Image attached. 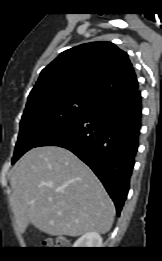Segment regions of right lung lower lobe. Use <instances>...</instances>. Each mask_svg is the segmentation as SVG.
I'll return each mask as SVG.
<instances>
[{"mask_svg":"<svg viewBox=\"0 0 162 261\" xmlns=\"http://www.w3.org/2000/svg\"><path fill=\"white\" fill-rule=\"evenodd\" d=\"M141 113L138 89L119 93L52 130L35 147L60 146L77 155L103 183L119 215L138 150Z\"/></svg>","mask_w":162,"mask_h":261,"instance_id":"1","label":"right lung lower lobe"}]
</instances>
